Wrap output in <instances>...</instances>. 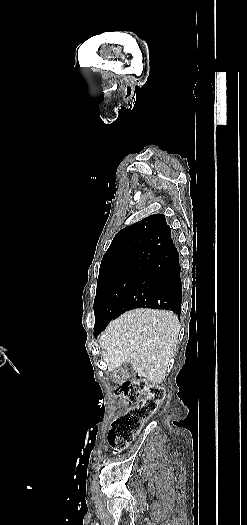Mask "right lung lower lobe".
I'll return each instance as SVG.
<instances>
[{"mask_svg": "<svg viewBox=\"0 0 247 525\" xmlns=\"http://www.w3.org/2000/svg\"><path fill=\"white\" fill-rule=\"evenodd\" d=\"M179 253L171 242L153 256L152 262L137 279L117 309L118 316L135 308L165 309L181 314L182 284ZM106 326L94 327L98 335Z\"/></svg>", "mask_w": 247, "mask_h": 525, "instance_id": "obj_1", "label": "right lung lower lobe"}]
</instances>
